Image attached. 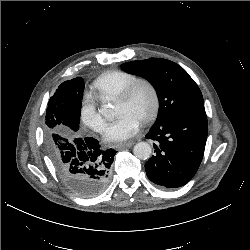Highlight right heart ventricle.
<instances>
[{"label":"right heart ventricle","instance_id":"e07e8e85","mask_svg":"<svg viewBox=\"0 0 250 250\" xmlns=\"http://www.w3.org/2000/svg\"><path fill=\"white\" fill-rule=\"evenodd\" d=\"M135 79H137L136 75L126 71L114 70L106 72L93 82L90 95L98 100L116 98Z\"/></svg>","mask_w":250,"mask_h":250}]
</instances>
